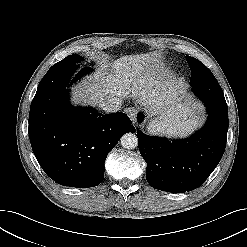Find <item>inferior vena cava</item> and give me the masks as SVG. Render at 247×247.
<instances>
[{"mask_svg":"<svg viewBox=\"0 0 247 247\" xmlns=\"http://www.w3.org/2000/svg\"><path fill=\"white\" fill-rule=\"evenodd\" d=\"M121 106H122V101L117 97H111L109 99L102 101L99 104V107H101V109L107 113L117 112L118 110H120Z\"/></svg>","mask_w":247,"mask_h":247,"instance_id":"1","label":"inferior vena cava"}]
</instances>
